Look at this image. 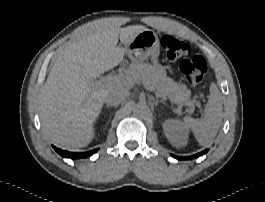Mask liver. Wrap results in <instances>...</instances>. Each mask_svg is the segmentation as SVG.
<instances>
[{
	"instance_id": "1",
	"label": "liver",
	"mask_w": 265,
	"mask_h": 202,
	"mask_svg": "<svg viewBox=\"0 0 265 202\" xmlns=\"http://www.w3.org/2000/svg\"><path fill=\"white\" fill-rule=\"evenodd\" d=\"M147 29L96 20L58 53L39 95L42 129L52 143L75 150L92 141L106 94L122 88L120 84L94 86L93 80L122 62L128 44ZM119 39L122 47L117 46Z\"/></svg>"
}]
</instances>
